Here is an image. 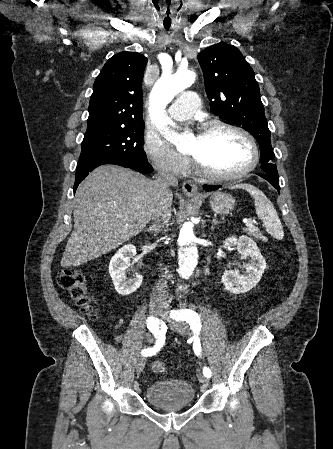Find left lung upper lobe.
<instances>
[{
  "instance_id": "1",
  "label": "left lung upper lobe",
  "mask_w": 333,
  "mask_h": 449,
  "mask_svg": "<svg viewBox=\"0 0 333 449\" xmlns=\"http://www.w3.org/2000/svg\"><path fill=\"white\" fill-rule=\"evenodd\" d=\"M198 61L211 110L249 131L259 143L261 169L266 175L278 177L272 162L270 130L251 66L236 47L226 43L206 48L198 54Z\"/></svg>"
}]
</instances>
